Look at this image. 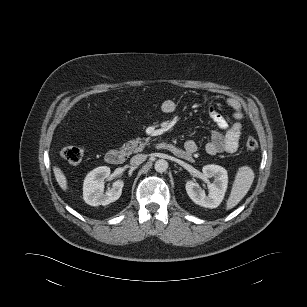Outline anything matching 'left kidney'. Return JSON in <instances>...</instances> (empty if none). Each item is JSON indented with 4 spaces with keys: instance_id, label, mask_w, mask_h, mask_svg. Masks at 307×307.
I'll use <instances>...</instances> for the list:
<instances>
[{
    "instance_id": "1",
    "label": "left kidney",
    "mask_w": 307,
    "mask_h": 307,
    "mask_svg": "<svg viewBox=\"0 0 307 307\" xmlns=\"http://www.w3.org/2000/svg\"><path fill=\"white\" fill-rule=\"evenodd\" d=\"M202 172L206 178H214L213 183L208 185V195L192 180L186 182V192L195 204L205 208H216L222 202L227 190V171L219 165L209 164L203 167Z\"/></svg>"
}]
</instances>
